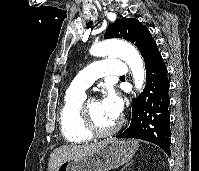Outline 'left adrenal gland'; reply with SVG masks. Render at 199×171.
I'll return each mask as SVG.
<instances>
[{
    "mask_svg": "<svg viewBox=\"0 0 199 171\" xmlns=\"http://www.w3.org/2000/svg\"><path fill=\"white\" fill-rule=\"evenodd\" d=\"M133 163V161H131L130 163H128L123 169H122V171L125 169V168H127L130 164H132Z\"/></svg>",
    "mask_w": 199,
    "mask_h": 171,
    "instance_id": "1",
    "label": "left adrenal gland"
}]
</instances>
